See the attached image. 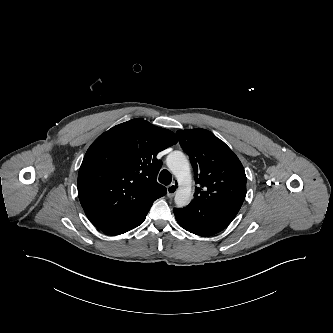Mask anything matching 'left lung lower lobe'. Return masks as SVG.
Segmentation results:
<instances>
[{
    "label": "left lung lower lobe",
    "instance_id": "1",
    "mask_svg": "<svg viewBox=\"0 0 333 333\" xmlns=\"http://www.w3.org/2000/svg\"><path fill=\"white\" fill-rule=\"evenodd\" d=\"M243 201L240 194H225L203 201L192 200L187 207L173 211L185 230L199 236H211L230 224Z\"/></svg>",
    "mask_w": 333,
    "mask_h": 333
}]
</instances>
